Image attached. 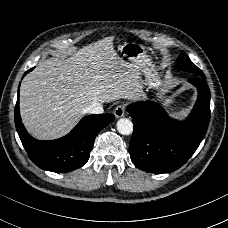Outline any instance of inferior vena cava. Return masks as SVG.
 Returning <instances> with one entry per match:
<instances>
[{"label": "inferior vena cava", "instance_id": "602c4592", "mask_svg": "<svg viewBox=\"0 0 228 228\" xmlns=\"http://www.w3.org/2000/svg\"><path fill=\"white\" fill-rule=\"evenodd\" d=\"M83 112L88 114H102L104 110L101 103H93L92 105L85 108Z\"/></svg>", "mask_w": 228, "mask_h": 228}]
</instances>
